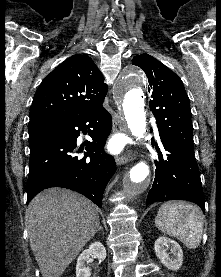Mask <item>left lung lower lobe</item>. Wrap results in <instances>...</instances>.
Segmentation results:
<instances>
[{
	"instance_id": "1",
	"label": "left lung lower lobe",
	"mask_w": 221,
	"mask_h": 277,
	"mask_svg": "<svg viewBox=\"0 0 221 277\" xmlns=\"http://www.w3.org/2000/svg\"><path fill=\"white\" fill-rule=\"evenodd\" d=\"M159 135L164 151L156 146L159 156L155 161V179L146 206L155 201L179 199L198 204L204 212L205 199L194 151L161 133Z\"/></svg>"
}]
</instances>
